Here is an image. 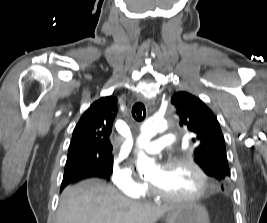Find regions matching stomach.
<instances>
[{
  "label": "stomach",
  "mask_w": 267,
  "mask_h": 223,
  "mask_svg": "<svg viewBox=\"0 0 267 223\" xmlns=\"http://www.w3.org/2000/svg\"><path fill=\"white\" fill-rule=\"evenodd\" d=\"M166 223H209L206 208L195 202L177 204L166 216Z\"/></svg>",
  "instance_id": "stomach-1"
}]
</instances>
